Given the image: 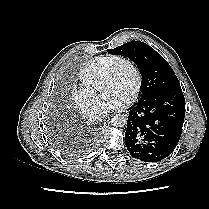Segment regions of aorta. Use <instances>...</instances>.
Wrapping results in <instances>:
<instances>
[{"instance_id": "762f6f07", "label": "aorta", "mask_w": 209, "mask_h": 209, "mask_svg": "<svg viewBox=\"0 0 209 209\" xmlns=\"http://www.w3.org/2000/svg\"><path fill=\"white\" fill-rule=\"evenodd\" d=\"M127 118L124 115H115L111 118L110 123L114 127L122 128L126 125Z\"/></svg>"}]
</instances>
